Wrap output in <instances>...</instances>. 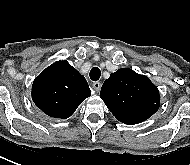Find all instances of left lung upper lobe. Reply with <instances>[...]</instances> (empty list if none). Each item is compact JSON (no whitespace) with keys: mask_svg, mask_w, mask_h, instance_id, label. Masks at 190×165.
Instances as JSON below:
<instances>
[{"mask_svg":"<svg viewBox=\"0 0 190 165\" xmlns=\"http://www.w3.org/2000/svg\"><path fill=\"white\" fill-rule=\"evenodd\" d=\"M100 97L116 119L137 124L151 117L160 106L157 87L147 76L121 68L105 80Z\"/></svg>","mask_w":190,"mask_h":165,"instance_id":"5c2ea615","label":"left lung upper lobe"}]
</instances>
